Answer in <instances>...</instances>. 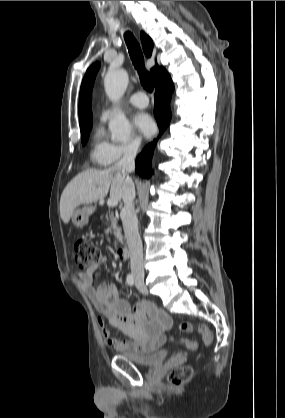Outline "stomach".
<instances>
[{
  "label": "stomach",
  "instance_id": "obj_1",
  "mask_svg": "<svg viewBox=\"0 0 285 418\" xmlns=\"http://www.w3.org/2000/svg\"><path fill=\"white\" fill-rule=\"evenodd\" d=\"M92 213L91 207H83L82 209H77L72 214V222L77 227H82L86 225L89 221V215Z\"/></svg>",
  "mask_w": 285,
  "mask_h": 418
}]
</instances>
